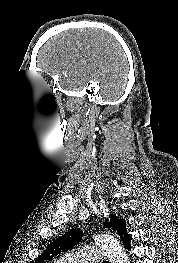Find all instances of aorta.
Segmentation results:
<instances>
[{
    "label": "aorta",
    "instance_id": "aorta-1",
    "mask_svg": "<svg viewBox=\"0 0 178 263\" xmlns=\"http://www.w3.org/2000/svg\"><path fill=\"white\" fill-rule=\"evenodd\" d=\"M95 242L105 251L110 263H129L124 249L113 236L100 234L95 237Z\"/></svg>",
    "mask_w": 178,
    "mask_h": 263
}]
</instances>
